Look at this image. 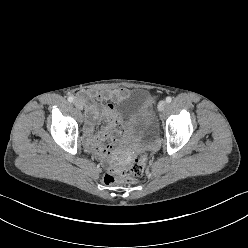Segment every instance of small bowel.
Returning a JSON list of instances; mask_svg holds the SVG:
<instances>
[{"label":"small bowel","mask_w":248,"mask_h":248,"mask_svg":"<svg viewBox=\"0 0 248 248\" xmlns=\"http://www.w3.org/2000/svg\"><path fill=\"white\" fill-rule=\"evenodd\" d=\"M128 93L129 90L119 88L104 92L86 91L80 95L87 112L85 141L91 151L110 154L117 146L121 135V123L113 103L123 99ZM95 100L100 103H95ZM99 123H103V126L98 127ZM107 139L110 140L108 145Z\"/></svg>","instance_id":"small-bowel-1"}]
</instances>
